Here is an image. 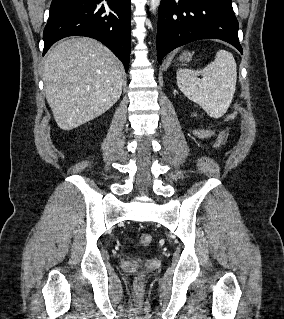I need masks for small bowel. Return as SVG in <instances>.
<instances>
[{
    "instance_id": "small-bowel-1",
    "label": "small bowel",
    "mask_w": 284,
    "mask_h": 319,
    "mask_svg": "<svg viewBox=\"0 0 284 319\" xmlns=\"http://www.w3.org/2000/svg\"><path fill=\"white\" fill-rule=\"evenodd\" d=\"M195 135L200 139H206L213 135V131L210 129L195 130Z\"/></svg>"
}]
</instances>
